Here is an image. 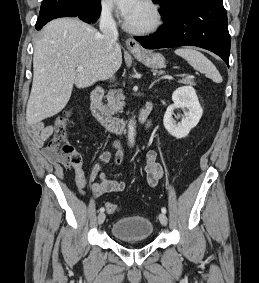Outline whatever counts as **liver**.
<instances>
[{
    "instance_id": "liver-1",
    "label": "liver",
    "mask_w": 259,
    "mask_h": 283,
    "mask_svg": "<svg viewBox=\"0 0 259 283\" xmlns=\"http://www.w3.org/2000/svg\"><path fill=\"white\" fill-rule=\"evenodd\" d=\"M122 64L121 47L111 54L102 35L77 18L49 22L35 43L33 83L26 108L29 125L58 114L68 103L73 86L86 88L107 79ZM80 65L84 69L78 72Z\"/></svg>"
}]
</instances>
